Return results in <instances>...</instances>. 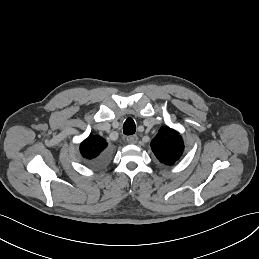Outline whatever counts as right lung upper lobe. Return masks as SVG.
Instances as JSON below:
<instances>
[{
  "instance_id": "obj_1",
  "label": "right lung upper lobe",
  "mask_w": 259,
  "mask_h": 259,
  "mask_svg": "<svg viewBox=\"0 0 259 259\" xmlns=\"http://www.w3.org/2000/svg\"><path fill=\"white\" fill-rule=\"evenodd\" d=\"M106 140L99 135H90L80 145L82 156L88 160L96 158L106 147Z\"/></svg>"
}]
</instances>
